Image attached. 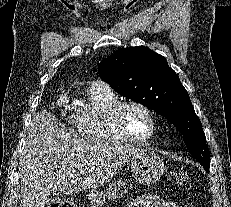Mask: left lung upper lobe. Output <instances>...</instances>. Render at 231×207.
I'll return each mask as SVG.
<instances>
[{"label":"left lung upper lobe","instance_id":"obj_1","mask_svg":"<svg viewBox=\"0 0 231 207\" xmlns=\"http://www.w3.org/2000/svg\"><path fill=\"white\" fill-rule=\"evenodd\" d=\"M100 77L120 95L153 109L183 135L192 156L210 166L202 124L179 76L166 59L147 47L119 49L102 60Z\"/></svg>","mask_w":231,"mask_h":207}]
</instances>
